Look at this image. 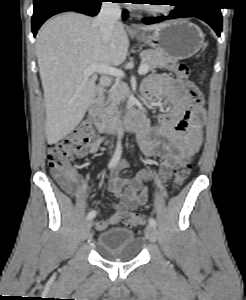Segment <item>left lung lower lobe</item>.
Listing matches in <instances>:
<instances>
[{"mask_svg": "<svg viewBox=\"0 0 246 300\" xmlns=\"http://www.w3.org/2000/svg\"><path fill=\"white\" fill-rule=\"evenodd\" d=\"M217 0H183V3L176 5L170 15L156 17V20H145L144 23L152 24L163 20L180 17H196L208 23L220 36L222 31V15Z\"/></svg>", "mask_w": 246, "mask_h": 300, "instance_id": "1", "label": "left lung lower lobe"}]
</instances>
